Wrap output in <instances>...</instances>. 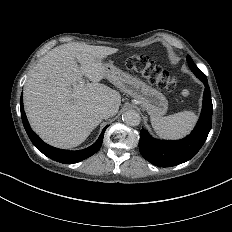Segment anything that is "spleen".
I'll return each instance as SVG.
<instances>
[{
    "label": "spleen",
    "instance_id": "3e777b00",
    "mask_svg": "<svg viewBox=\"0 0 232 232\" xmlns=\"http://www.w3.org/2000/svg\"><path fill=\"white\" fill-rule=\"evenodd\" d=\"M197 119L193 112L183 111L165 117L151 116V124L160 137L179 139L192 130Z\"/></svg>",
    "mask_w": 232,
    "mask_h": 232
}]
</instances>
